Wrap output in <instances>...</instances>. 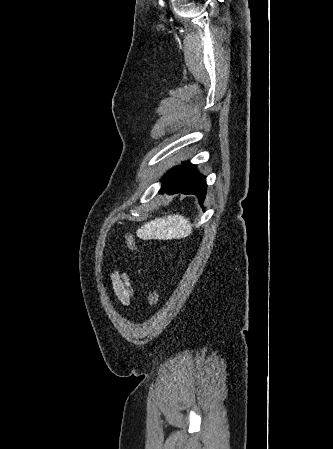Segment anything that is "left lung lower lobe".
Listing matches in <instances>:
<instances>
[{
    "label": "left lung lower lobe",
    "instance_id": "obj_1",
    "mask_svg": "<svg viewBox=\"0 0 333 449\" xmlns=\"http://www.w3.org/2000/svg\"><path fill=\"white\" fill-rule=\"evenodd\" d=\"M163 184L160 191L169 194L183 193L194 194L202 203L206 193L205 176L196 172V166L185 162L172 173L162 178Z\"/></svg>",
    "mask_w": 333,
    "mask_h": 449
}]
</instances>
